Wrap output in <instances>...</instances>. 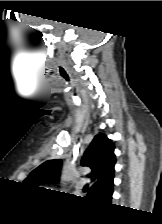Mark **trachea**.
I'll return each mask as SVG.
<instances>
[{
    "instance_id": "1",
    "label": "trachea",
    "mask_w": 162,
    "mask_h": 224,
    "mask_svg": "<svg viewBox=\"0 0 162 224\" xmlns=\"http://www.w3.org/2000/svg\"><path fill=\"white\" fill-rule=\"evenodd\" d=\"M88 189V185H85L83 190L86 191Z\"/></svg>"
}]
</instances>
